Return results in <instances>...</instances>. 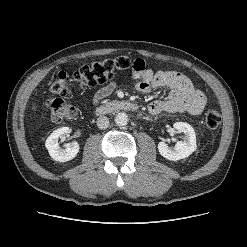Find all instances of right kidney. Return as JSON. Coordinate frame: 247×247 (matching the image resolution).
Listing matches in <instances>:
<instances>
[{
  "instance_id": "ca27d5eb",
  "label": "right kidney",
  "mask_w": 247,
  "mask_h": 247,
  "mask_svg": "<svg viewBox=\"0 0 247 247\" xmlns=\"http://www.w3.org/2000/svg\"><path fill=\"white\" fill-rule=\"evenodd\" d=\"M71 132L69 127H62L55 130L46 140L45 146L49 155L56 161L66 162L75 158L79 152L77 142H72L64 145V148L59 147L58 139L63 134Z\"/></svg>"
}]
</instances>
